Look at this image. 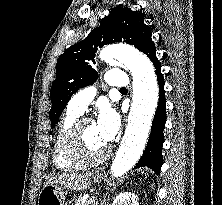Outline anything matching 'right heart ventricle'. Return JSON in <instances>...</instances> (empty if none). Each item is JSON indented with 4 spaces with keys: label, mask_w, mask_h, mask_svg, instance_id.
Masks as SVG:
<instances>
[{
    "label": "right heart ventricle",
    "mask_w": 222,
    "mask_h": 205,
    "mask_svg": "<svg viewBox=\"0 0 222 205\" xmlns=\"http://www.w3.org/2000/svg\"><path fill=\"white\" fill-rule=\"evenodd\" d=\"M79 115L78 113L67 110L58 126L52 146V159L57 169L71 171L81 168V164L72 160L65 149L66 134Z\"/></svg>",
    "instance_id": "e07e8e85"
}]
</instances>
